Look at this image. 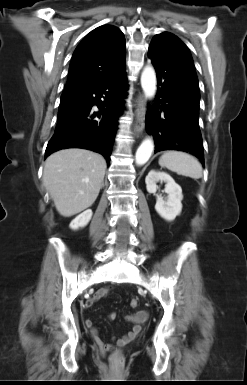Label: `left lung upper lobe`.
Wrapping results in <instances>:
<instances>
[{"label":"left lung upper lobe","instance_id":"obj_1","mask_svg":"<svg viewBox=\"0 0 247 385\" xmlns=\"http://www.w3.org/2000/svg\"><path fill=\"white\" fill-rule=\"evenodd\" d=\"M166 34H169L173 40V42L175 43L176 45V48L177 50L187 58L188 62L191 63L193 66V60H192V57H191V54L187 48V46L178 38L176 37L175 35L171 34V33H168V32H164Z\"/></svg>","mask_w":247,"mask_h":385}]
</instances>
